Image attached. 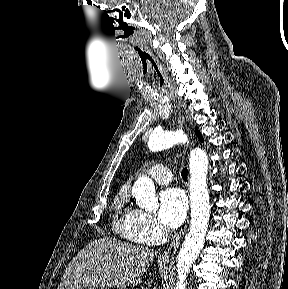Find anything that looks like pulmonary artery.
<instances>
[{"label": "pulmonary artery", "instance_id": "1", "mask_svg": "<svg viewBox=\"0 0 288 289\" xmlns=\"http://www.w3.org/2000/svg\"><path fill=\"white\" fill-rule=\"evenodd\" d=\"M148 174L155 182L159 184H168L172 179L171 170L162 164H157L150 167Z\"/></svg>", "mask_w": 288, "mask_h": 289}]
</instances>
